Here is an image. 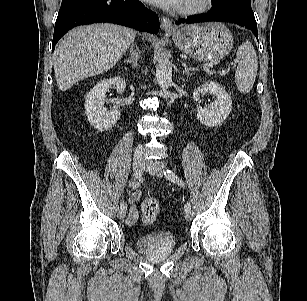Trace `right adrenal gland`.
<instances>
[{"mask_svg":"<svg viewBox=\"0 0 307 301\" xmlns=\"http://www.w3.org/2000/svg\"><path fill=\"white\" fill-rule=\"evenodd\" d=\"M130 52H131V56L128 57L125 62L127 63H131L132 66L134 68L138 67V59H139V55H138V52L135 51L134 49V45H131L130 47Z\"/></svg>","mask_w":307,"mask_h":301,"instance_id":"1","label":"right adrenal gland"}]
</instances>
